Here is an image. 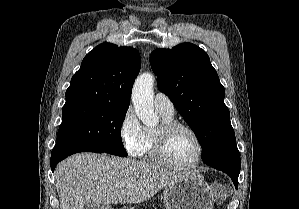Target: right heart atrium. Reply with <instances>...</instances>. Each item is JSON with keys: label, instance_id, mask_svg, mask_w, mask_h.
I'll return each mask as SVG.
<instances>
[{"label": "right heart atrium", "instance_id": "1", "mask_svg": "<svg viewBox=\"0 0 299 209\" xmlns=\"http://www.w3.org/2000/svg\"><path fill=\"white\" fill-rule=\"evenodd\" d=\"M119 134L127 153L133 157L142 155L146 141L145 130L132 107H129L120 122Z\"/></svg>", "mask_w": 299, "mask_h": 209}]
</instances>
